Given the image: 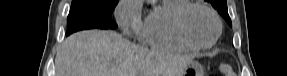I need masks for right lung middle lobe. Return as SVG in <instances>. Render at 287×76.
Instances as JSON below:
<instances>
[{"label":"right lung middle lobe","mask_w":287,"mask_h":76,"mask_svg":"<svg viewBox=\"0 0 287 76\" xmlns=\"http://www.w3.org/2000/svg\"><path fill=\"white\" fill-rule=\"evenodd\" d=\"M118 0H72L67 35L86 29H115L111 14Z\"/></svg>","instance_id":"dd1d6c3e"}]
</instances>
